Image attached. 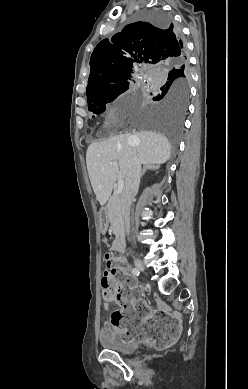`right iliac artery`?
I'll return each instance as SVG.
<instances>
[{"instance_id":"obj_1","label":"right iliac artery","mask_w":248,"mask_h":389,"mask_svg":"<svg viewBox=\"0 0 248 389\" xmlns=\"http://www.w3.org/2000/svg\"><path fill=\"white\" fill-rule=\"evenodd\" d=\"M132 273H133L134 275L138 276V275H139V270L136 269V268H133V269H132Z\"/></svg>"}]
</instances>
